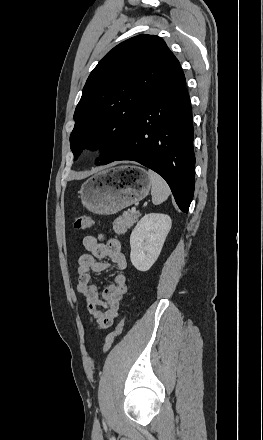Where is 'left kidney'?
<instances>
[{
  "mask_svg": "<svg viewBox=\"0 0 263 440\" xmlns=\"http://www.w3.org/2000/svg\"><path fill=\"white\" fill-rule=\"evenodd\" d=\"M168 215L149 213L137 223L130 236L132 265L139 271H147L157 260L164 241L171 229Z\"/></svg>",
  "mask_w": 263,
  "mask_h": 440,
  "instance_id": "5707ae66",
  "label": "left kidney"
}]
</instances>
